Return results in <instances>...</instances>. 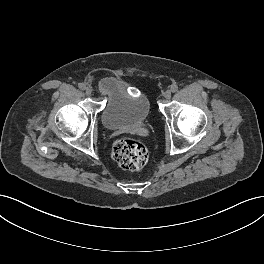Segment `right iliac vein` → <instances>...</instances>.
Here are the masks:
<instances>
[{
	"mask_svg": "<svg viewBox=\"0 0 264 264\" xmlns=\"http://www.w3.org/2000/svg\"><path fill=\"white\" fill-rule=\"evenodd\" d=\"M85 93H86L87 95H91V94H92V88H91V87H87V88L85 89Z\"/></svg>",
	"mask_w": 264,
	"mask_h": 264,
	"instance_id": "obj_1",
	"label": "right iliac vein"
}]
</instances>
